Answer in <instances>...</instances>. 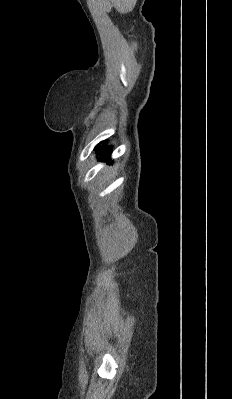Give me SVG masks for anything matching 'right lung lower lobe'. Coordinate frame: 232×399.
Listing matches in <instances>:
<instances>
[{"mask_svg": "<svg viewBox=\"0 0 232 399\" xmlns=\"http://www.w3.org/2000/svg\"><path fill=\"white\" fill-rule=\"evenodd\" d=\"M102 144H104L102 147H100L99 145L95 148V150H97V154L99 155V159L100 160H104L106 161V159L108 158L107 162L111 163V160L109 159L110 157V152H111V148L109 146L106 145V143L103 141L101 142Z\"/></svg>", "mask_w": 232, "mask_h": 399, "instance_id": "right-lung-lower-lobe-1", "label": "right lung lower lobe"}]
</instances>
